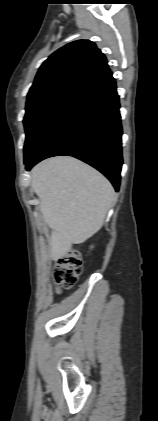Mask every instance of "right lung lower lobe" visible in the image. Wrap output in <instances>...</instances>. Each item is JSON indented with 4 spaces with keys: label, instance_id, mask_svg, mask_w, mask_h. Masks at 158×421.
<instances>
[{
    "label": "right lung lower lobe",
    "instance_id": "obj_1",
    "mask_svg": "<svg viewBox=\"0 0 158 421\" xmlns=\"http://www.w3.org/2000/svg\"><path fill=\"white\" fill-rule=\"evenodd\" d=\"M119 107L115 79L107 67L59 108L25 160L26 169L48 157L73 156L103 173L118 191L123 163Z\"/></svg>",
    "mask_w": 158,
    "mask_h": 421
}]
</instances>
